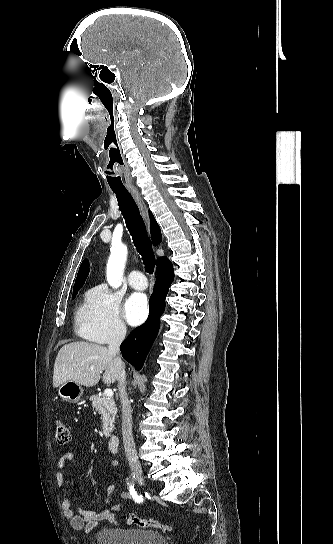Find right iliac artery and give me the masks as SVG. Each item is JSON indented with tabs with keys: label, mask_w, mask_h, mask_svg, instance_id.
<instances>
[{
	"label": "right iliac artery",
	"mask_w": 333,
	"mask_h": 544,
	"mask_svg": "<svg viewBox=\"0 0 333 544\" xmlns=\"http://www.w3.org/2000/svg\"><path fill=\"white\" fill-rule=\"evenodd\" d=\"M129 492H130L131 496L133 497V499H134L136 502L139 503V502H142V501H143L142 495H138V494H137V492H136L135 489H134V485H132L131 483H130V485H129Z\"/></svg>",
	"instance_id": "82829eb1"
}]
</instances>
